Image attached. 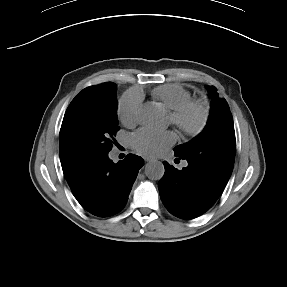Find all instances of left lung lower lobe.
I'll use <instances>...</instances> for the list:
<instances>
[{
	"label": "left lung lower lobe",
	"instance_id": "obj_1",
	"mask_svg": "<svg viewBox=\"0 0 287 287\" xmlns=\"http://www.w3.org/2000/svg\"><path fill=\"white\" fill-rule=\"evenodd\" d=\"M163 164L165 173L158 183L160 197L167 210L179 218L193 219L206 212L225 187L211 181L209 171L190 161L182 170L170 166L166 161Z\"/></svg>",
	"mask_w": 287,
	"mask_h": 287
}]
</instances>
